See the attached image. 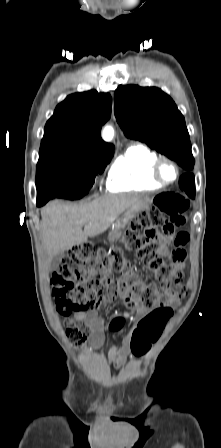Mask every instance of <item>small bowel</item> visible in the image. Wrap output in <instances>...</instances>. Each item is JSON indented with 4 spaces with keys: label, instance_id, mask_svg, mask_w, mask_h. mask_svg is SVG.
<instances>
[{
    "label": "small bowel",
    "instance_id": "small-bowel-1",
    "mask_svg": "<svg viewBox=\"0 0 221 448\" xmlns=\"http://www.w3.org/2000/svg\"><path fill=\"white\" fill-rule=\"evenodd\" d=\"M154 231L156 230L154 229ZM188 240L189 234L184 230H180L171 236H160L158 251L162 255L168 256L176 267L183 268L186 255L184 247ZM170 244L174 245L173 250L169 249ZM116 295L122 298L125 307H136V315L140 320L148 317L153 311L143 307L138 302H134L130 298L129 289L123 279H110L105 293L99 297L98 302L87 310L76 312L69 321L70 325H79L82 323L84 328L89 331L90 346L92 348H98L105 338L104 330L107 320L99 312L102 306L112 301ZM124 323L125 317H117L110 322V328L113 331H118L124 326ZM136 328L133 327L121 343L110 346L108 360L116 368H122L127 363L131 354L139 357L149 350L150 344L146 351L141 350L139 353H135L131 340Z\"/></svg>",
    "mask_w": 221,
    "mask_h": 448
}]
</instances>
